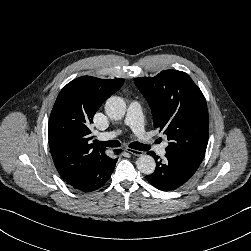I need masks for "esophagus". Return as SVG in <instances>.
I'll use <instances>...</instances> for the list:
<instances>
[{
    "mask_svg": "<svg viewBox=\"0 0 251 251\" xmlns=\"http://www.w3.org/2000/svg\"><path fill=\"white\" fill-rule=\"evenodd\" d=\"M126 151L129 152L132 155H135V156H142L143 155V152L138 151V150H134V149H131V148H126Z\"/></svg>",
    "mask_w": 251,
    "mask_h": 251,
    "instance_id": "34e87169",
    "label": "esophagus"
}]
</instances>
